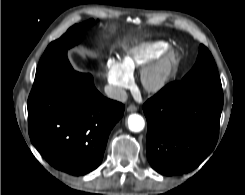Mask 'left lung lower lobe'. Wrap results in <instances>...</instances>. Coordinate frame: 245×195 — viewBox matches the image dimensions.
Masks as SVG:
<instances>
[{"mask_svg":"<svg viewBox=\"0 0 245 195\" xmlns=\"http://www.w3.org/2000/svg\"><path fill=\"white\" fill-rule=\"evenodd\" d=\"M223 92L181 81L166 85L143 105L147 118V158L166 176L198 167L219 135Z\"/></svg>","mask_w":245,"mask_h":195,"instance_id":"obj_1","label":"left lung lower lobe"}]
</instances>
